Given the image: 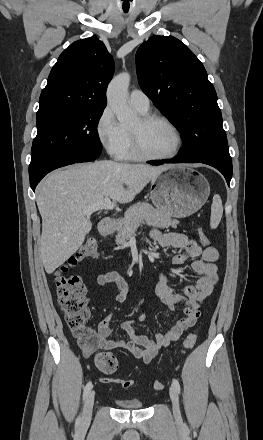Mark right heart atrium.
<instances>
[{
	"label": "right heart atrium",
	"mask_w": 263,
	"mask_h": 440,
	"mask_svg": "<svg viewBox=\"0 0 263 440\" xmlns=\"http://www.w3.org/2000/svg\"><path fill=\"white\" fill-rule=\"evenodd\" d=\"M96 134L101 145L111 155H118L127 138L126 129L117 121L109 106L101 111L97 119Z\"/></svg>",
	"instance_id": "right-heart-atrium-1"
}]
</instances>
